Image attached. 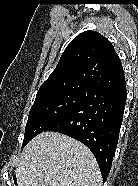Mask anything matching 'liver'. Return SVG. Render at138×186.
Masks as SVG:
<instances>
[{"instance_id":"liver-1","label":"liver","mask_w":138,"mask_h":186,"mask_svg":"<svg viewBox=\"0 0 138 186\" xmlns=\"http://www.w3.org/2000/svg\"><path fill=\"white\" fill-rule=\"evenodd\" d=\"M15 175L18 186H102L92 152L57 132H42L26 145Z\"/></svg>"}]
</instances>
